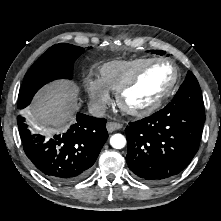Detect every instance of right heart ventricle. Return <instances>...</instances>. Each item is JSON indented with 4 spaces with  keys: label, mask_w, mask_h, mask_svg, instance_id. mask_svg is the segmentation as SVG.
Masks as SVG:
<instances>
[{
    "label": "right heart ventricle",
    "mask_w": 221,
    "mask_h": 221,
    "mask_svg": "<svg viewBox=\"0 0 221 221\" xmlns=\"http://www.w3.org/2000/svg\"><path fill=\"white\" fill-rule=\"evenodd\" d=\"M151 58H134L129 60H112L100 67V79L112 91L131 78Z\"/></svg>",
    "instance_id": "1"
}]
</instances>
